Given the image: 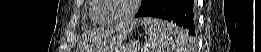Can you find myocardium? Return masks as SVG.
Listing matches in <instances>:
<instances>
[{"label": "myocardium", "mask_w": 261, "mask_h": 52, "mask_svg": "<svg viewBox=\"0 0 261 52\" xmlns=\"http://www.w3.org/2000/svg\"><path fill=\"white\" fill-rule=\"evenodd\" d=\"M94 1L98 4L97 8L94 10V18L97 21V23L104 24V25L118 24L129 20L136 13L138 3L140 2L139 0H129V8L122 16H120L116 20L104 21L99 19V12L104 9L105 2L103 0H94Z\"/></svg>", "instance_id": "f54148a6"}]
</instances>
